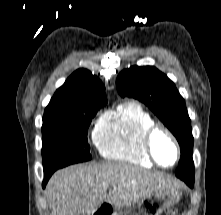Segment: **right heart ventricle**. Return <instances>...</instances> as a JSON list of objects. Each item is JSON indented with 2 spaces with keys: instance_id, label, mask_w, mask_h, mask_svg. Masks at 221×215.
Here are the masks:
<instances>
[{
  "instance_id": "e07e8e85",
  "label": "right heart ventricle",
  "mask_w": 221,
  "mask_h": 215,
  "mask_svg": "<svg viewBox=\"0 0 221 215\" xmlns=\"http://www.w3.org/2000/svg\"><path fill=\"white\" fill-rule=\"evenodd\" d=\"M152 124L151 114L139 102L126 101L100 119L93 142L106 159L152 167L142 146L143 134Z\"/></svg>"
}]
</instances>
